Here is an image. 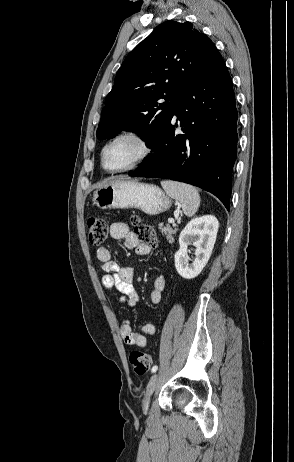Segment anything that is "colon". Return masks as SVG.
<instances>
[{
  "mask_svg": "<svg viewBox=\"0 0 294 462\" xmlns=\"http://www.w3.org/2000/svg\"><path fill=\"white\" fill-rule=\"evenodd\" d=\"M133 226L134 234L142 244L151 248L157 246L158 239L151 225L142 223L139 218H134ZM87 231L90 243L100 245L107 238L108 224L103 218L90 217L87 220ZM129 362L136 374L144 375L151 367L152 358L140 350H133L129 354Z\"/></svg>",
  "mask_w": 294,
  "mask_h": 462,
  "instance_id": "1",
  "label": "colon"
}]
</instances>
